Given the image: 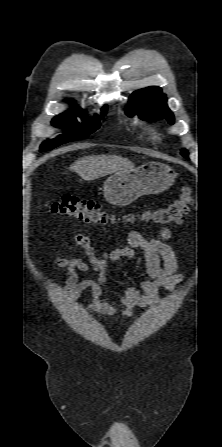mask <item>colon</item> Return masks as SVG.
Returning a JSON list of instances; mask_svg holds the SVG:
<instances>
[{
  "label": "colon",
  "instance_id": "5ec220e1",
  "mask_svg": "<svg viewBox=\"0 0 222 447\" xmlns=\"http://www.w3.org/2000/svg\"><path fill=\"white\" fill-rule=\"evenodd\" d=\"M192 203V191L185 187L180 196L169 206L153 212H145L143 218L159 226L180 223ZM51 213L59 217L74 218L87 224L104 225L113 221L101 203L89 198L67 195L51 205Z\"/></svg>",
  "mask_w": 222,
  "mask_h": 447
}]
</instances>
